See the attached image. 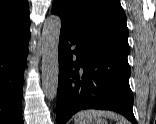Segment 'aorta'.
Segmentation results:
<instances>
[{
  "instance_id": "1",
  "label": "aorta",
  "mask_w": 156,
  "mask_h": 124,
  "mask_svg": "<svg viewBox=\"0 0 156 124\" xmlns=\"http://www.w3.org/2000/svg\"><path fill=\"white\" fill-rule=\"evenodd\" d=\"M60 29V17L50 15L45 20L42 30V88L48 100L57 96Z\"/></svg>"
}]
</instances>
